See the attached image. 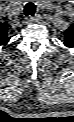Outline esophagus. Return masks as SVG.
Listing matches in <instances>:
<instances>
[{"mask_svg": "<svg viewBox=\"0 0 74 122\" xmlns=\"http://www.w3.org/2000/svg\"><path fill=\"white\" fill-rule=\"evenodd\" d=\"M40 20L41 16L39 14H36L35 16L29 18L30 22H39Z\"/></svg>", "mask_w": 74, "mask_h": 122, "instance_id": "34e87169", "label": "esophagus"}]
</instances>
